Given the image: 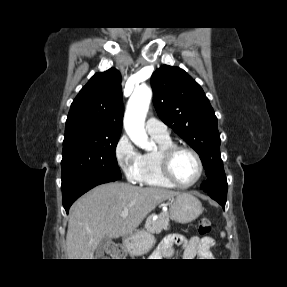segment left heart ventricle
Wrapping results in <instances>:
<instances>
[{"label": "left heart ventricle", "instance_id": "b2bd125f", "mask_svg": "<svg viewBox=\"0 0 287 287\" xmlns=\"http://www.w3.org/2000/svg\"><path fill=\"white\" fill-rule=\"evenodd\" d=\"M172 168L177 180L183 184L194 181L199 172L195 157L187 151H180L175 155Z\"/></svg>", "mask_w": 287, "mask_h": 287}]
</instances>
